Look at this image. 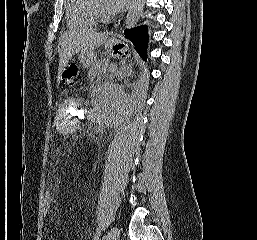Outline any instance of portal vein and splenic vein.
I'll list each match as a JSON object with an SVG mask.
<instances>
[{"instance_id": "18ae733b", "label": "portal vein and splenic vein", "mask_w": 257, "mask_h": 240, "mask_svg": "<svg viewBox=\"0 0 257 240\" xmlns=\"http://www.w3.org/2000/svg\"><path fill=\"white\" fill-rule=\"evenodd\" d=\"M117 68V64H111L109 70L114 71Z\"/></svg>"}]
</instances>
